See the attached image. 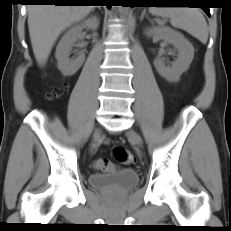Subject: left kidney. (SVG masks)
I'll use <instances>...</instances> for the list:
<instances>
[{"label":"left kidney","instance_id":"5707ae66","mask_svg":"<svg viewBox=\"0 0 231 231\" xmlns=\"http://www.w3.org/2000/svg\"><path fill=\"white\" fill-rule=\"evenodd\" d=\"M146 35L164 39V41L172 44L177 50V59L171 67L165 66L159 57L154 60L155 68L161 76L170 82H177L182 73L189 68L194 58L193 45L181 33L166 26L150 28L146 31Z\"/></svg>","mask_w":231,"mask_h":231}]
</instances>
